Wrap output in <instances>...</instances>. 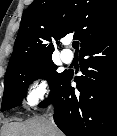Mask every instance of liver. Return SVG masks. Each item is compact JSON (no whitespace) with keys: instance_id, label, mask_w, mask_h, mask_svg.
I'll return each instance as SVG.
<instances>
[{"instance_id":"obj_1","label":"liver","mask_w":117,"mask_h":136,"mask_svg":"<svg viewBox=\"0 0 117 136\" xmlns=\"http://www.w3.org/2000/svg\"><path fill=\"white\" fill-rule=\"evenodd\" d=\"M3 136H63L58 128L43 117H35L25 122H11L3 127Z\"/></svg>"}]
</instances>
